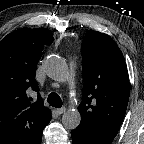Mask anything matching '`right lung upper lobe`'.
I'll list each match as a JSON object with an SVG mask.
<instances>
[{"label": "right lung upper lobe", "mask_w": 144, "mask_h": 144, "mask_svg": "<svg viewBox=\"0 0 144 144\" xmlns=\"http://www.w3.org/2000/svg\"><path fill=\"white\" fill-rule=\"evenodd\" d=\"M53 42L46 28L16 30L0 42V144H36L51 120V110L32 103L28 89L39 91L36 65L44 45Z\"/></svg>", "instance_id": "right-lung-upper-lobe-1"}]
</instances>
